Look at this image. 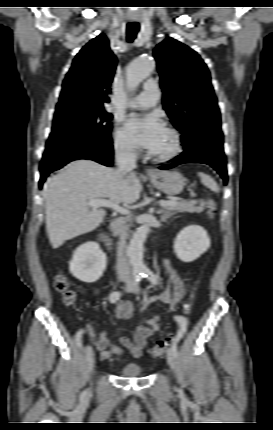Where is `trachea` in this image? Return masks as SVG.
<instances>
[{
  "instance_id": "1",
  "label": "trachea",
  "mask_w": 273,
  "mask_h": 430,
  "mask_svg": "<svg viewBox=\"0 0 273 430\" xmlns=\"http://www.w3.org/2000/svg\"><path fill=\"white\" fill-rule=\"evenodd\" d=\"M139 31V24L130 23L127 26V41L133 42L136 38L137 32Z\"/></svg>"
}]
</instances>
